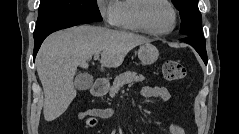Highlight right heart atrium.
I'll use <instances>...</instances> for the list:
<instances>
[{
  "label": "right heart atrium",
  "instance_id": "right-heart-atrium-1",
  "mask_svg": "<svg viewBox=\"0 0 239 134\" xmlns=\"http://www.w3.org/2000/svg\"><path fill=\"white\" fill-rule=\"evenodd\" d=\"M98 11L108 26H115L118 16L117 1L115 0H99Z\"/></svg>",
  "mask_w": 239,
  "mask_h": 134
}]
</instances>
